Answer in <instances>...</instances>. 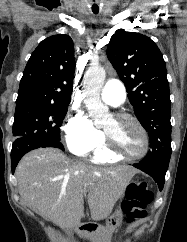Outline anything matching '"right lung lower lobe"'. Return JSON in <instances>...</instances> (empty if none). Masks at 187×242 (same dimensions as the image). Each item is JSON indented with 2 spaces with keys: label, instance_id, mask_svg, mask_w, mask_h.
Masks as SVG:
<instances>
[{
  "label": "right lung lower lobe",
  "instance_id": "obj_1",
  "mask_svg": "<svg viewBox=\"0 0 187 242\" xmlns=\"http://www.w3.org/2000/svg\"><path fill=\"white\" fill-rule=\"evenodd\" d=\"M40 147H55L64 150V147L60 141L32 137L17 138L12 145L11 151L12 173H14L15 167L24 154Z\"/></svg>",
  "mask_w": 187,
  "mask_h": 242
}]
</instances>
